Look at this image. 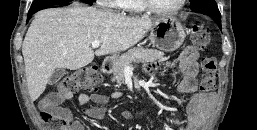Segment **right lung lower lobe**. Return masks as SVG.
<instances>
[{
    "label": "right lung lower lobe",
    "instance_id": "1",
    "mask_svg": "<svg viewBox=\"0 0 257 130\" xmlns=\"http://www.w3.org/2000/svg\"><path fill=\"white\" fill-rule=\"evenodd\" d=\"M32 14L31 13H28V16H27V19L29 20L30 19V16H31Z\"/></svg>",
    "mask_w": 257,
    "mask_h": 130
}]
</instances>
